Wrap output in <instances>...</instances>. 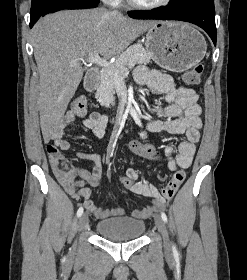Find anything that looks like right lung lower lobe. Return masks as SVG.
Masks as SVG:
<instances>
[{"label": "right lung lower lobe", "mask_w": 247, "mask_h": 280, "mask_svg": "<svg viewBox=\"0 0 247 280\" xmlns=\"http://www.w3.org/2000/svg\"><path fill=\"white\" fill-rule=\"evenodd\" d=\"M99 2L92 0H61L49 5L44 9L38 17L30 18V27L39 19V17L44 16L50 12L63 10V9H83V8H93L98 5Z\"/></svg>", "instance_id": "1"}]
</instances>
